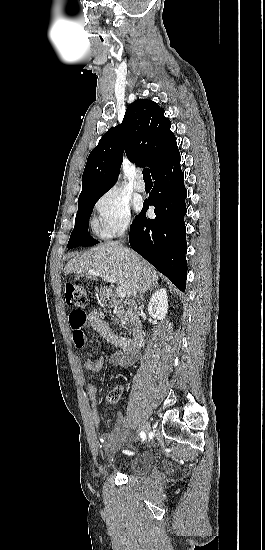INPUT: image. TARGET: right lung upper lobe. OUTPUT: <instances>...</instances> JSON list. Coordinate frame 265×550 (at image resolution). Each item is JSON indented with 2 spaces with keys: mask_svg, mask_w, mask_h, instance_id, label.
I'll return each mask as SVG.
<instances>
[{
  "mask_svg": "<svg viewBox=\"0 0 265 550\" xmlns=\"http://www.w3.org/2000/svg\"><path fill=\"white\" fill-rule=\"evenodd\" d=\"M164 109L148 99H137L121 125L109 129L91 151L82 176L79 199L102 196L117 180L126 152L131 162L150 167L151 174L178 150Z\"/></svg>",
  "mask_w": 265,
  "mask_h": 550,
  "instance_id": "cb5924a9",
  "label": "right lung upper lobe"
}]
</instances>
